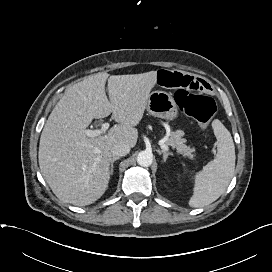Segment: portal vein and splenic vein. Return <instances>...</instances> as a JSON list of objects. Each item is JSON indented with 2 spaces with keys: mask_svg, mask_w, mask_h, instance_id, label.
Segmentation results:
<instances>
[{
  "mask_svg": "<svg viewBox=\"0 0 272 272\" xmlns=\"http://www.w3.org/2000/svg\"><path fill=\"white\" fill-rule=\"evenodd\" d=\"M109 126H110L109 123L106 122L101 125L100 129H94V130L86 129L84 133L87 137H97L105 133L107 129L109 128ZM160 146L165 151L169 149V147L165 143H161Z\"/></svg>",
  "mask_w": 272,
  "mask_h": 272,
  "instance_id": "obj_1",
  "label": "portal vein and splenic vein"
}]
</instances>
